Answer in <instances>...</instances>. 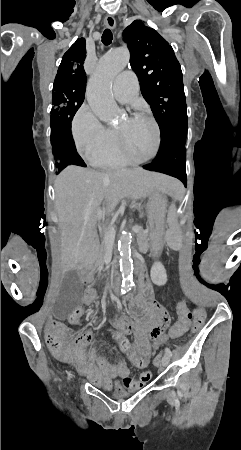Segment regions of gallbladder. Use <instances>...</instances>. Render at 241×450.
I'll list each match as a JSON object with an SVG mask.
<instances>
[{
    "mask_svg": "<svg viewBox=\"0 0 241 450\" xmlns=\"http://www.w3.org/2000/svg\"><path fill=\"white\" fill-rule=\"evenodd\" d=\"M82 288L77 270L66 272L60 296L55 303L54 318L57 323H64L68 315H73L74 310H79Z\"/></svg>",
    "mask_w": 241,
    "mask_h": 450,
    "instance_id": "obj_1",
    "label": "gallbladder"
}]
</instances>
